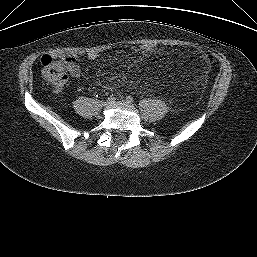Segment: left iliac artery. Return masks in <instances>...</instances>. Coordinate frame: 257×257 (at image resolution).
<instances>
[{
    "instance_id": "44dca946",
    "label": "left iliac artery",
    "mask_w": 257,
    "mask_h": 257,
    "mask_svg": "<svg viewBox=\"0 0 257 257\" xmlns=\"http://www.w3.org/2000/svg\"><path fill=\"white\" fill-rule=\"evenodd\" d=\"M126 99L129 103L134 102V98L132 96H127Z\"/></svg>"
}]
</instances>
